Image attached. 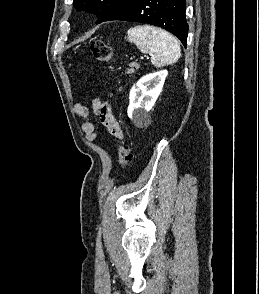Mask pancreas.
<instances>
[{"label": "pancreas", "instance_id": "pancreas-1", "mask_svg": "<svg viewBox=\"0 0 259 294\" xmlns=\"http://www.w3.org/2000/svg\"><path fill=\"white\" fill-rule=\"evenodd\" d=\"M130 68H127L126 73L133 74L135 72V69H139V64L136 62H131L129 64Z\"/></svg>", "mask_w": 259, "mask_h": 294}]
</instances>
